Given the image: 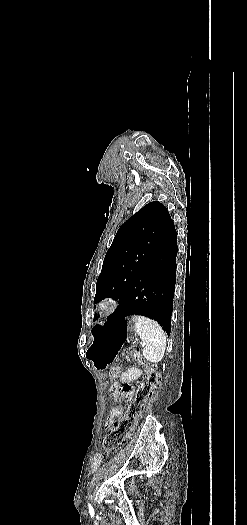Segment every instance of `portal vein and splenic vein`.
Here are the masks:
<instances>
[{
	"label": "portal vein and splenic vein",
	"mask_w": 247,
	"mask_h": 525,
	"mask_svg": "<svg viewBox=\"0 0 247 525\" xmlns=\"http://www.w3.org/2000/svg\"><path fill=\"white\" fill-rule=\"evenodd\" d=\"M146 340H142V346H145Z\"/></svg>",
	"instance_id": "portal-vein-and-splenic-vein-1"
}]
</instances>
